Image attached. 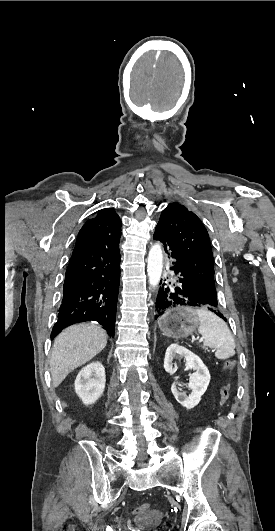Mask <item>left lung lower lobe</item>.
<instances>
[{"label": "left lung lower lobe", "mask_w": 275, "mask_h": 531, "mask_svg": "<svg viewBox=\"0 0 275 531\" xmlns=\"http://www.w3.org/2000/svg\"><path fill=\"white\" fill-rule=\"evenodd\" d=\"M153 238L163 243L168 257L173 259L170 270L177 275V284H173L171 287L160 281V288L155 303V319L162 315L166 310L173 307L195 306L207 308L226 321V318L217 309V305H214L210 301H206L196 294L192 286L187 281L186 274L183 270V265L178 253L174 249L171 241L167 238L159 226H156ZM169 284H171V282H169Z\"/></svg>", "instance_id": "0a47b994"}]
</instances>
